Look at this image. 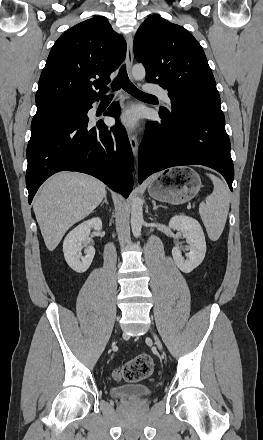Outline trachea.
Segmentation results:
<instances>
[{
	"mask_svg": "<svg viewBox=\"0 0 263 440\" xmlns=\"http://www.w3.org/2000/svg\"><path fill=\"white\" fill-rule=\"evenodd\" d=\"M113 88L118 90L123 88L129 94L136 97H155L153 95L147 94L136 88V86L129 80L126 66L123 65L118 73L117 78L113 81Z\"/></svg>",
	"mask_w": 263,
	"mask_h": 440,
	"instance_id": "1",
	"label": "trachea"
}]
</instances>
